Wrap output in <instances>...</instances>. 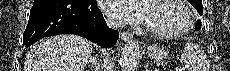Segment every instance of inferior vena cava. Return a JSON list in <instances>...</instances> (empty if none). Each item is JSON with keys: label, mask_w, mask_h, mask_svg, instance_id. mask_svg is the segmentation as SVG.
Masks as SVG:
<instances>
[{"label": "inferior vena cava", "mask_w": 230, "mask_h": 71, "mask_svg": "<svg viewBox=\"0 0 230 71\" xmlns=\"http://www.w3.org/2000/svg\"><path fill=\"white\" fill-rule=\"evenodd\" d=\"M107 24L111 27V28H119L121 27V24L115 22V21H112V20H107ZM89 63H91L92 67L95 69V71L97 70L98 71V61L96 58H92L89 60ZM97 66V68H95Z\"/></svg>", "instance_id": "inferior-vena-cava-1"}]
</instances>
